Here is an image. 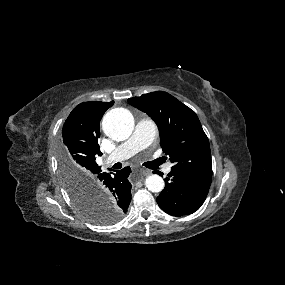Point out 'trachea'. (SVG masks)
<instances>
[{
  "instance_id": "obj_1",
  "label": "trachea",
  "mask_w": 285,
  "mask_h": 285,
  "mask_svg": "<svg viewBox=\"0 0 285 285\" xmlns=\"http://www.w3.org/2000/svg\"><path fill=\"white\" fill-rule=\"evenodd\" d=\"M155 162H156V165L158 166V165H160L163 162V160H157Z\"/></svg>"
}]
</instances>
